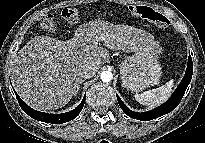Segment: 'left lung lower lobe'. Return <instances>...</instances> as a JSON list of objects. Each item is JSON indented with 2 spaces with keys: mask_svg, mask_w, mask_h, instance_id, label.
<instances>
[{
  "mask_svg": "<svg viewBox=\"0 0 205 143\" xmlns=\"http://www.w3.org/2000/svg\"><path fill=\"white\" fill-rule=\"evenodd\" d=\"M192 72H193L192 58L189 55L188 67H187L185 76L182 79L179 86L177 87V89L175 90V92L173 93V95L170 97V99L167 102H165L161 106H159L151 111L144 112V113L133 112L128 107H126L125 104L122 102V100L119 98V96L116 95L118 103H119L121 109L128 116H130L131 118L137 119V120L149 121V120H153L155 118H158L160 116H163V115L171 112L172 110H174L178 106V104L180 103V101H181L190 81H191Z\"/></svg>",
  "mask_w": 205,
  "mask_h": 143,
  "instance_id": "left-lung-lower-lobe-1",
  "label": "left lung lower lobe"
}]
</instances>
